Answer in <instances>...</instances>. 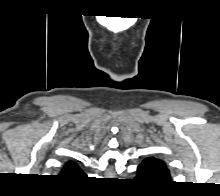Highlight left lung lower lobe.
Returning <instances> with one entry per match:
<instances>
[{"mask_svg": "<svg viewBox=\"0 0 220 196\" xmlns=\"http://www.w3.org/2000/svg\"><path fill=\"white\" fill-rule=\"evenodd\" d=\"M137 180H140L144 183H167L157 170L147 161H143L137 168Z\"/></svg>", "mask_w": 220, "mask_h": 196, "instance_id": "left-lung-lower-lobe-1", "label": "left lung lower lobe"}]
</instances>
